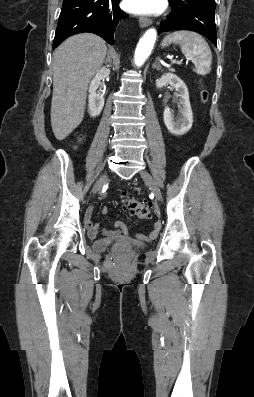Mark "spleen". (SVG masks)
I'll list each match as a JSON object with an SVG mask.
<instances>
[{
	"label": "spleen",
	"mask_w": 254,
	"mask_h": 397,
	"mask_svg": "<svg viewBox=\"0 0 254 397\" xmlns=\"http://www.w3.org/2000/svg\"><path fill=\"white\" fill-rule=\"evenodd\" d=\"M171 43L179 44L182 53L195 65L197 74L205 76L211 71L212 53L207 42L197 33L191 31H175L167 35L162 46Z\"/></svg>",
	"instance_id": "3e777b00"
}]
</instances>
